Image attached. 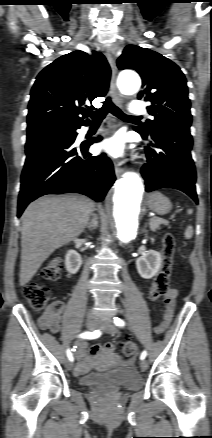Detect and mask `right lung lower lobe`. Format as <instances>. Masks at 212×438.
<instances>
[{"instance_id": "obj_1", "label": "right lung lower lobe", "mask_w": 212, "mask_h": 438, "mask_svg": "<svg viewBox=\"0 0 212 438\" xmlns=\"http://www.w3.org/2000/svg\"><path fill=\"white\" fill-rule=\"evenodd\" d=\"M66 125H53L28 132L26 161L21 175L18 217L26 206L46 194L76 192L101 202L116 177L110 159L93 156L88 148L95 138L75 147L77 136Z\"/></svg>"}]
</instances>
